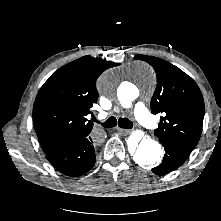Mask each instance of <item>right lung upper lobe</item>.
I'll return each instance as SVG.
<instances>
[{
	"instance_id": "right-lung-upper-lobe-1",
	"label": "right lung upper lobe",
	"mask_w": 221,
	"mask_h": 221,
	"mask_svg": "<svg viewBox=\"0 0 221 221\" xmlns=\"http://www.w3.org/2000/svg\"><path fill=\"white\" fill-rule=\"evenodd\" d=\"M114 62L81 57L54 72L39 90L33 122L43 151L50 153L74 140L88 137L92 114L99 96L96 80Z\"/></svg>"
}]
</instances>
